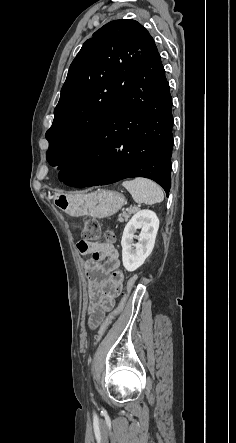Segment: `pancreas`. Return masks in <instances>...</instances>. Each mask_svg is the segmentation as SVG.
Returning a JSON list of instances; mask_svg holds the SVG:
<instances>
[{
    "mask_svg": "<svg viewBox=\"0 0 236 443\" xmlns=\"http://www.w3.org/2000/svg\"><path fill=\"white\" fill-rule=\"evenodd\" d=\"M139 210V208L137 207H131L126 209V211H124L123 213H121L118 217V221L123 223L124 221H128L129 217L134 214L135 212H137Z\"/></svg>",
    "mask_w": 236,
    "mask_h": 443,
    "instance_id": "obj_1",
    "label": "pancreas"
}]
</instances>
